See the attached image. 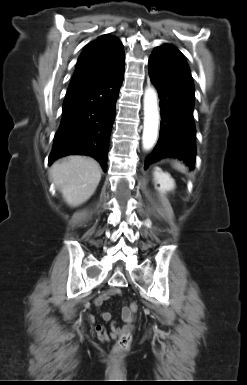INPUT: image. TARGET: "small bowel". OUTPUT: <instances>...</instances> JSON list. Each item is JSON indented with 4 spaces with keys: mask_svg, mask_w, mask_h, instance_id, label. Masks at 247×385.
Segmentation results:
<instances>
[{
    "mask_svg": "<svg viewBox=\"0 0 247 385\" xmlns=\"http://www.w3.org/2000/svg\"><path fill=\"white\" fill-rule=\"evenodd\" d=\"M121 294H122V290L120 288L112 287V288L108 289L105 293H103L102 295L97 297L94 300V305L97 308H100L103 305L104 301L110 299L112 296L121 295ZM128 316H129L128 309L124 308L121 312V317H122L123 321H125L126 323L122 326H118V325H116V323L114 321H112V314L111 313L101 312L100 317L104 321H111V326H110L109 331H107L103 325L96 324L94 327V331H95L97 338L101 342H108L110 340H115L124 330H127L129 332L132 331L134 326L129 323ZM96 320H97L96 316H94V315L90 316V321L92 323H95Z\"/></svg>",
    "mask_w": 247,
    "mask_h": 385,
    "instance_id": "1",
    "label": "small bowel"
}]
</instances>
